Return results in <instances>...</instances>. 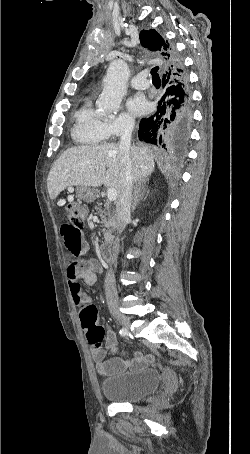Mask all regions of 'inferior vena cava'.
Segmentation results:
<instances>
[{"instance_id": "1", "label": "inferior vena cava", "mask_w": 250, "mask_h": 454, "mask_svg": "<svg viewBox=\"0 0 250 454\" xmlns=\"http://www.w3.org/2000/svg\"><path fill=\"white\" fill-rule=\"evenodd\" d=\"M134 124H128L120 135L119 149L121 153L122 169V189L116 203L115 228L121 234L130 219V208L133 191L132 162L130 156L131 136ZM105 294L109 306L117 305L118 293L114 282L112 270L108 271L105 277Z\"/></svg>"}]
</instances>
